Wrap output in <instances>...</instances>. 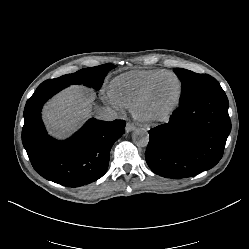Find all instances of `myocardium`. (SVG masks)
Segmentation results:
<instances>
[{"mask_svg":"<svg viewBox=\"0 0 249 249\" xmlns=\"http://www.w3.org/2000/svg\"><path fill=\"white\" fill-rule=\"evenodd\" d=\"M166 77H174L179 84V92L176 101L172 106H170L167 110L164 112L157 114V115H144L142 113V107L148 97L150 96L153 88L156 86V84L161 81L162 79ZM184 95V84L182 82V79L174 72H166L163 74L158 75L154 79H152L145 88L140 92V94L136 97L134 102L131 105V113L133 118L140 124L146 125V126H154L161 123H165L170 120V118L173 116L175 111L180 106L182 99Z\"/></svg>","mask_w":249,"mask_h":249,"instance_id":"1","label":"myocardium"}]
</instances>
